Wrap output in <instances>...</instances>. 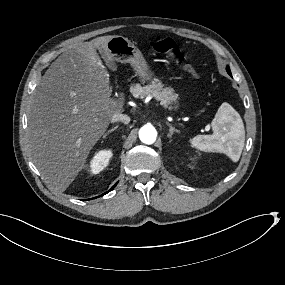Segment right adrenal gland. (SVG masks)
Here are the masks:
<instances>
[{
	"mask_svg": "<svg viewBox=\"0 0 285 285\" xmlns=\"http://www.w3.org/2000/svg\"><path fill=\"white\" fill-rule=\"evenodd\" d=\"M117 128H118V126H115L113 129L109 130L108 133L103 136L102 143L105 141V139H106L112 132L116 131Z\"/></svg>",
	"mask_w": 285,
	"mask_h": 285,
	"instance_id": "2a0ac1e0",
	"label": "right adrenal gland"
}]
</instances>
